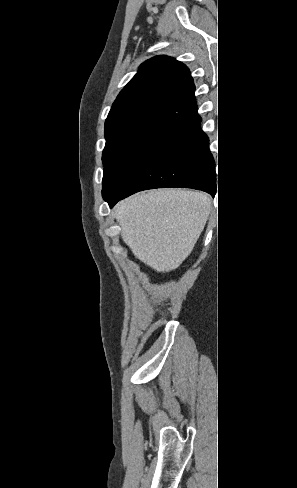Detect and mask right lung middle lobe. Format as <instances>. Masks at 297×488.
<instances>
[{
	"instance_id": "right-lung-middle-lobe-1",
	"label": "right lung middle lobe",
	"mask_w": 297,
	"mask_h": 488,
	"mask_svg": "<svg viewBox=\"0 0 297 488\" xmlns=\"http://www.w3.org/2000/svg\"><path fill=\"white\" fill-rule=\"evenodd\" d=\"M159 129H139L107 139L103 150V199L112 198L127 190L149 159L172 134Z\"/></svg>"
}]
</instances>
